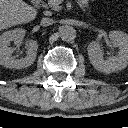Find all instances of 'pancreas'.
<instances>
[{
  "mask_svg": "<svg viewBox=\"0 0 128 128\" xmlns=\"http://www.w3.org/2000/svg\"><path fill=\"white\" fill-rule=\"evenodd\" d=\"M60 0H48V5L55 11L61 10Z\"/></svg>",
  "mask_w": 128,
  "mask_h": 128,
  "instance_id": "obj_1",
  "label": "pancreas"
}]
</instances>
